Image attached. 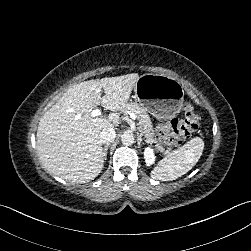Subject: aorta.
Segmentation results:
<instances>
[{"label": "aorta", "mask_w": 251, "mask_h": 251, "mask_svg": "<svg viewBox=\"0 0 251 251\" xmlns=\"http://www.w3.org/2000/svg\"><path fill=\"white\" fill-rule=\"evenodd\" d=\"M134 135L132 133L129 132H124L121 135V142L123 145L125 146H129L132 145L134 143Z\"/></svg>", "instance_id": "obj_1"}]
</instances>
